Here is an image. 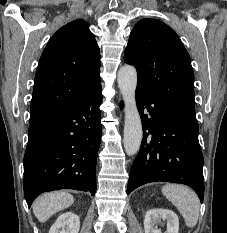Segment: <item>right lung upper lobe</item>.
Here are the masks:
<instances>
[{
    "mask_svg": "<svg viewBox=\"0 0 227 233\" xmlns=\"http://www.w3.org/2000/svg\"><path fill=\"white\" fill-rule=\"evenodd\" d=\"M100 51L81 19L61 27L44 49L35 75L30 123L76 102L101 86Z\"/></svg>",
    "mask_w": 227,
    "mask_h": 233,
    "instance_id": "1",
    "label": "right lung upper lobe"
}]
</instances>
